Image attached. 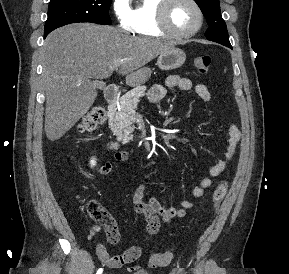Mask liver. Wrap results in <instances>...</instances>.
<instances>
[{"instance_id": "obj_1", "label": "liver", "mask_w": 289, "mask_h": 274, "mask_svg": "<svg viewBox=\"0 0 289 274\" xmlns=\"http://www.w3.org/2000/svg\"><path fill=\"white\" fill-rule=\"evenodd\" d=\"M172 48L167 42L132 37L92 23L70 24L51 32L43 45L47 138L60 139L88 112L97 97L98 79L110 77L117 69L126 75L129 86L143 84L151 74L144 66Z\"/></svg>"}]
</instances>
